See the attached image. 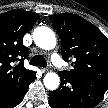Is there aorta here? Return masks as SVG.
<instances>
[{
    "label": "aorta",
    "instance_id": "obj_1",
    "mask_svg": "<svg viewBox=\"0 0 108 108\" xmlns=\"http://www.w3.org/2000/svg\"><path fill=\"white\" fill-rule=\"evenodd\" d=\"M33 40L35 44L45 50H51L56 46L57 40L54 32L45 26L37 27L33 31ZM44 85L49 90H56L60 85V78L54 72H49L43 79Z\"/></svg>",
    "mask_w": 108,
    "mask_h": 108
}]
</instances>
